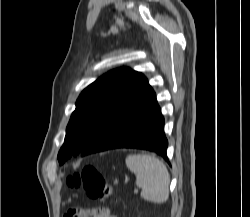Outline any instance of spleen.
Segmentation results:
<instances>
[{
    "label": "spleen",
    "mask_w": 250,
    "mask_h": 217,
    "mask_svg": "<svg viewBox=\"0 0 250 217\" xmlns=\"http://www.w3.org/2000/svg\"><path fill=\"white\" fill-rule=\"evenodd\" d=\"M127 167L136 175L141 197L152 203H164L169 198L170 175L164 163L147 154L126 157Z\"/></svg>",
    "instance_id": "1"
}]
</instances>
